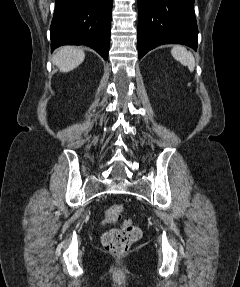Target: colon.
Wrapping results in <instances>:
<instances>
[{
	"instance_id": "5ec220e1",
	"label": "colon",
	"mask_w": 240,
	"mask_h": 287,
	"mask_svg": "<svg viewBox=\"0 0 240 287\" xmlns=\"http://www.w3.org/2000/svg\"><path fill=\"white\" fill-rule=\"evenodd\" d=\"M123 213V205L114 204L106 209L105 217L108 222L116 224L121 221ZM140 236V229L131 220H125L119 227L106 231L102 235L101 241L108 253L114 256H122Z\"/></svg>"
}]
</instances>
